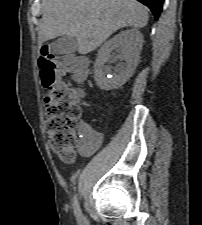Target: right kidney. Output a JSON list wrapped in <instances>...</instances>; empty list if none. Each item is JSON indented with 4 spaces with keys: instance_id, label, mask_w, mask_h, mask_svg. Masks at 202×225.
I'll return each mask as SVG.
<instances>
[{
    "instance_id": "ca27d5eb",
    "label": "right kidney",
    "mask_w": 202,
    "mask_h": 225,
    "mask_svg": "<svg viewBox=\"0 0 202 225\" xmlns=\"http://www.w3.org/2000/svg\"><path fill=\"white\" fill-rule=\"evenodd\" d=\"M143 35L138 29L121 31L98 50L94 64V79L102 90H112L124 85L134 74L139 63ZM116 51L118 54L112 53ZM125 61L112 66L110 64ZM109 63V65H105Z\"/></svg>"
}]
</instances>
